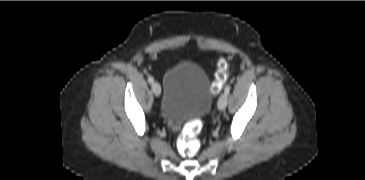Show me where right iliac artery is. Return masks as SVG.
I'll return each instance as SVG.
<instances>
[{"label":"right iliac artery","instance_id":"82829eb1","mask_svg":"<svg viewBox=\"0 0 365 180\" xmlns=\"http://www.w3.org/2000/svg\"><path fill=\"white\" fill-rule=\"evenodd\" d=\"M148 81H149V83H151V84H152V83L154 82L153 77H152V76H149V77H148Z\"/></svg>","mask_w":365,"mask_h":180}]
</instances>
